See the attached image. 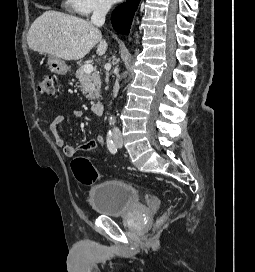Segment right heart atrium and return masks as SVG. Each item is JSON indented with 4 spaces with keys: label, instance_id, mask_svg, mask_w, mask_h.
<instances>
[{
    "label": "right heart atrium",
    "instance_id": "d8ad5b80",
    "mask_svg": "<svg viewBox=\"0 0 255 272\" xmlns=\"http://www.w3.org/2000/svg\"><path fill=\"white\" fill-rule=\"evenodd\" d=\"M110 7V0H66L65 8L77 15L89 16L92 13L104 12Z\"/></svg>",
    "mask_w": 255,
    "mask_h": 272
}]
</instances>
